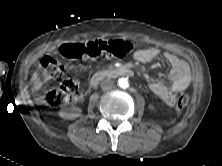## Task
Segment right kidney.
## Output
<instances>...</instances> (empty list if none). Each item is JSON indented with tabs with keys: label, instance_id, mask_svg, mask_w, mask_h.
<instances>
[{
	"label": "right kidney",
	"instance_id": "obj_1",
	"mask_svg": "<svg viewBox=\"0 0 222 166\" xmlns=\"http://www.w3.org/2000/svg\"><path fill=\"white\" fill-rule=\"evenodd\" d=\"M82 110L79 107H73L70 112L61 110L59 115L65 120H73L81 116Z\"/></svg>",
	"mask_w": 222,
	"mask_h": 166
}]
</instances>
